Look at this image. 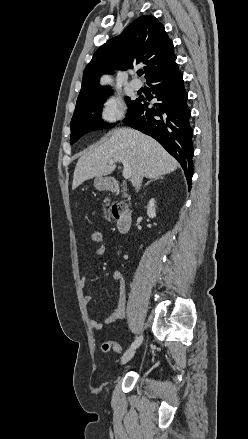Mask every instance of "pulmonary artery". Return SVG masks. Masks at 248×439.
Wrapping results in <instances>:
<instances>
[{"instance_id":"obj_1","label":"pulmonary artery","mask_w":248,"mask_h":439,"mask_svg":"<svg viewBox=\"0 0 248 439\" xmlns=\"http://www.w3.org/2000/svg\"><path fill=\"white\" fill-rule=\"evenodd\" d=\"M129 85L133 90H139L142 87V82L134 78L130 81Z\"/></svg>"}]
</instances>
